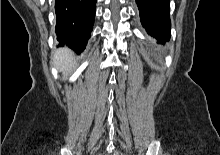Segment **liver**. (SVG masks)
<instances>
[{
    "instance_id": "liver-1",
    "label": "liver",
    "mask_w": 220,
    "mask_h": 155,
    "mask_svg": "<svg viewBox=\"0 0 220 155\" xmlns=\"http://www.w3.org/2000/svg\"><path fill=\"white\" fill-rule=\"evenodd\" d=\"M54 64L63 73H68L74 67L73 53L68 48H60L54 53Z\"/></svg>"
}]
</instances>
